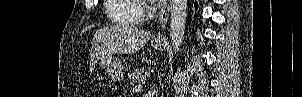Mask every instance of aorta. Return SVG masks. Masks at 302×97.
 <instances>
[{
    "label": "aorta",
    "mask_w": 302,
    "mask_h": 97,
    "mask_svg": "<svg viewBox=\"0 0 302 97\" xmlns=\"http://www.w3.org/2000/svg\"><path fill=\"white\" fill-rule=\"evenodd\" d=\"M187 0H171L170 36L174 53L180 51L186 24Z\"/></svg>",
    "instance_id": "762f6f07"
}]
</instances>
